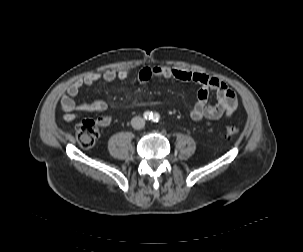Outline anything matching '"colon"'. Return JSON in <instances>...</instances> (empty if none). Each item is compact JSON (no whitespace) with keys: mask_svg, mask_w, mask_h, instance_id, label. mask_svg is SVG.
I'll use <instances>...</instances> for the list:
<instances>
[{"mask_svg":"<svg viewBox=\"0 0 303 252\" xmlns=\"http://www.w3.org/2000/svg\"><path fill=\"white\" fill-rule=\"evenodd\" d=\"M77 139L80 145L84 148H90L95 145L99 138V130L93 120L87 119L79 123L76 127ZM239 133V128L236 126H227L224 129V136L232 138Z\"/></svg>","mask_w":303,"mask_h":252,"instance_id":"obj_1","label":"colon"}]
</instances>
